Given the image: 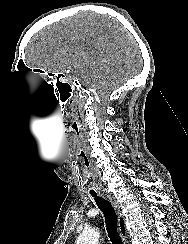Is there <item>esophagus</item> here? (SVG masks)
Here are the masks:
<instances>
[{
	"label": "esophagus",
	"instance_id": "obj_1",
	"mask_svg": "<svg viewBox=\"0 0 188 244\" xmlns=\"http://www.w3.org/2000/svg\"><path fill=\"white\" fill-rule=\"evenodd\" d=\"M105 196L107 197V199H109V201L113 204V206L115 207V209L117 210V214H118V231L119 234L123 240V244H127V238H128V233H127V229H126V221L125 218L123 216V214L120 211V207L118 202L114 199V197L109 194V193H105Z\"/></svg>",
	"mask_w": 188,
	"mask_h": 244
}]
</instances>
